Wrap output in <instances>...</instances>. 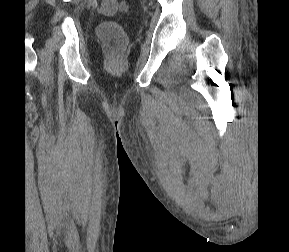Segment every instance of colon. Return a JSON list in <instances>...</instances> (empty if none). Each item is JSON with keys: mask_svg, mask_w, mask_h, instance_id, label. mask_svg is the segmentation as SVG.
Wrapping results in <instances>:
<instances>
[{"mask_svg": "<svg viewBox=\"0 0 289 252\" xmlns=\"http://www.w3.org/2000/svg\"><path fill=\"white\" fill-rule=\"evenodd\" d=\"M127 5L119 0H101L99 11L104 15H113L118 11H125ZM98 36L106 46L113 63H118L127 36L120 24L114 21H105L99 24L97 29Z\"/></svg>", "mask_w": 289, "mask_h": 252, "instance_id": "obj_1", "label": "colon"}]
</instances>
